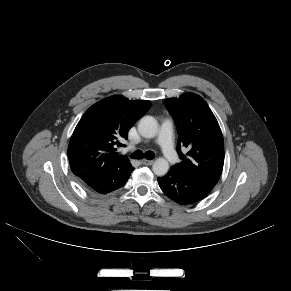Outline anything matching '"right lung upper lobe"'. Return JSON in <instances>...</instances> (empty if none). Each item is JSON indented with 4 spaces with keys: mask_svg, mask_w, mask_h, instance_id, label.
I'll return each mask as SVG.
<instances>
[{
    "mask_svg": "<svg viewBox=\"0 0 291 291\" xmlns=\"http://www.w3.org/2000/svg\"><path fill=\"white\" fill-rule=\"evenodd\" d=\"M148 101H129L123 96L103 99L92 105L77 124L68 147L72 172L83 180L91 174L116 167L133 169L129 159L118 155L116 147L127 139L129 129L150 108Z\"/></svg>",
    "mask_w": 291,
    "mask_h": 291,
    "instance_id": "right-lung-upper-lobe-1",
    "label": "right lung upper lobe"
}]
</instances>
